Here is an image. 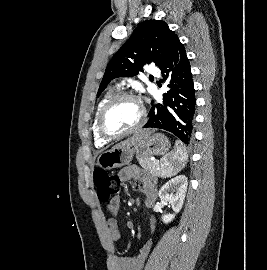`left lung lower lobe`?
<instances>
[{"mask_svg":"<svg viewBox=\"0 0 267 270\" xmlns=\"http://www.w3.org/2000/svg\"><path fill=\"white\" fill-rule=\"evenodd\" d=\"M160 69L170 90L163 94L162 103L152 105L144 128L167 130L185 147L193 138L196 99L189 60L180 41Z\"/></svg>","mask_w":267,"mask_h":270,"instance_id":"left-lung-lower-lobe-1","label":"left lung lower lobe"}]
</instances>
